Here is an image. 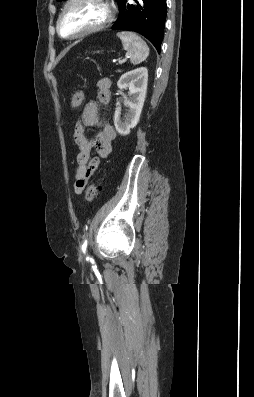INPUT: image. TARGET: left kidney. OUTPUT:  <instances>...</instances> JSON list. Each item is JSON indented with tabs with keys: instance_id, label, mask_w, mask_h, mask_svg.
<instances>
[{
	"instance_id": "1",
	"label": "left kidney",
	"mask_w": 254,
	"mask_h": 397,
	"mask_svg": "<svg viewBox=\"0 0 254 397\" xmlns=\"http://www.w3.org/2000/svg\"><path fill=\"white\" fill-rule=\"evenodd\" d=\"M148 82V70L146 67H140L124 73L117 82L120 90L129 88L130 97L126 102L128 112L125 119H121V109L118 107L114 114V125L117 132L126 136L134 128L140 118L144 105Z\"/></svg>"
}]
</instances>
